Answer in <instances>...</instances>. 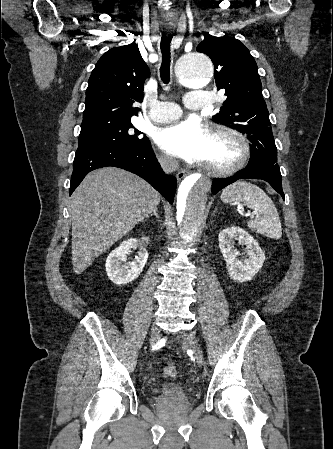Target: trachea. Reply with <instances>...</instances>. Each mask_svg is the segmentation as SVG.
I'll return each instance as SVG.
<instances>
[{
	"mask_svg": "<svg viewBox=\"0 0 333 449\" xmlns=\"http://www.w3.org/2000/svg\"><path fill=\"white\" fill-rule=\"evenodd\" d=\"M173 35L171 34H162L161 37V53H162V64L160 68V76L162 81L167 84L170 81V45L172 41Z\"/></svg>",
	"mask_w": 333,
	"mask_h": 449,
	"instance_id": "1",
	"label": "trachea"
}]
</instances>
